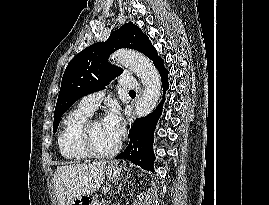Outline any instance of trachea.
I'll return each instance as SVG.
<instances>
[{
	"label": "trachea",
	"mask_w": 269,
	"mask_h": 205,
	"mask_svg": "<svg viewBox=\"0 0 269 205\" xmlns=\"http://www.w3.org/2000/svg\"><path fill=\"white\" fill-rule=\"evenodd\" d=\"M129 94H135L136 95V92L135 91H129Z\"/></svg>",
	"instance_id": "obj_1"
}]
</instances>
